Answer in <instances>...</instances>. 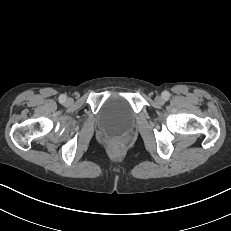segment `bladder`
Instances as JSON below:
<instances>
[{
	"instance_id": "31cf9c89",
	"label": "bladder",
	"mask_w": 231,
	"mask_h": 231,
	"mask_svg": "<svg viewBox=\"0 0 231 231\" xmlns=\"http://www.w3.org/2000/svg\"><path fill=\"white\" fill-rule=\"evenodd\" d=\"M135 117L136 115L127 98L114 94L101 106L97 121L106 132H123L132 126Z\"/></svg>"
}]
</instances>
